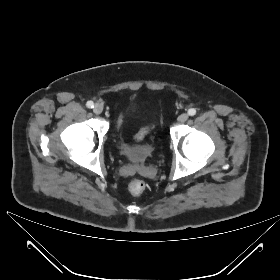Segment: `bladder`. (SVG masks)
Returning a JSON list of instances; mask_svg holds the SVG:
<instances>
[{"label": "bladder", "mask_w": 280, "mask_h": 280, "mask_svg": "<svg viewBox=\"0 0 280 280\" xmlns=\"http://www.w3.org/2000/svg\"><path fill=\"white\" fill-rule=\"evenodd\" d=\"M133 111L124 109L119 112L115 124L116 145L120 152L135 164H143L153 154L154 147L151 144H130L124 140L123 131Z\"/></svg>", "instance_id": "obj_1"}]
</instances>
